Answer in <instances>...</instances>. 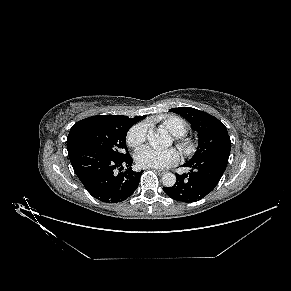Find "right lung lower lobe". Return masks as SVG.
Here are the masks:
<instances>
[{"mask_svg":"<svg viewBox=\"0 0 291 291\" xmlns=\"http://www.w3.org/2000/svg\"><path fill=\"white\" fill-rule=\"evenodd\" d=\"M74 172L86 190L96 199L117 203L130 197L138 187L143 171H131L132 158H116L102 150L84 144L68 149ZM123 166L125 172L116 174Z\"/></svg>","mask_w":291,"mask_h":291,"instance_id":"98d812e1","label":"right lung lower lobe"}]
</instances>
